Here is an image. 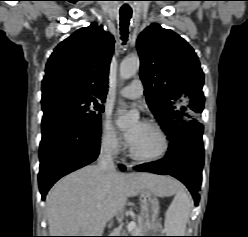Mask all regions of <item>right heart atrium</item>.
<instances>
[{"instance_id":"right-heart-atrium-1","label":"right heart atrium","mask_w":248,"mask_h":237,"mask_svg":"<svg viewBox=\"0 0 248 237\" xmlns=\"http://www.w3.org/2000/svg\"><path fill=\"white\" fill-rule=\"evenodd\" d=\"M101 144L113 153L120 152L123 147L122 139L108 117L102 123Z\"/></svg>"}]
</instances>
